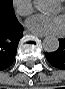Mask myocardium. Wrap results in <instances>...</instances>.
I'll list each match as a JSON object with an SVG mask.
<instances>
[{
	"mask_svg": "<svg viewBox=\"0 0 65 89\" xmlns=\"http://www.w3.org/2000/svg\"><path fill=\"white\" fill-rule=\"evenodd\" d=\"M63 11L65 12V7L63 8Z\"/></svg>",
	"mask_w": 65,
	"mask_h": 89,
	"instance_id": "myocardium-1",
	"label": "myocardium"
}]
</instances>
